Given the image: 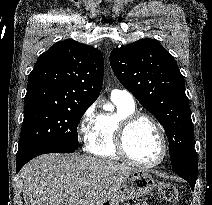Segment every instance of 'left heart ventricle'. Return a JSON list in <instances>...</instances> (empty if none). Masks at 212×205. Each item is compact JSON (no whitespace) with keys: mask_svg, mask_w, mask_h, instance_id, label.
<instances>
[{"mask_svg":"<svg viewBox=\"0 0 212 205\" xmlns=\"http://www.w3.org/2000/svg\"><path fill=\"white\" fill-rule=\"evenodd\" d=\"M126 145L136 160L151 162L161 154V140L154 125L146 120L136 121L128 131Z\"/></svg>","mask_w":212,"mask_h":205,"instance_id":"b2bd125f","label":"left heart ventricle"}]
</instances>
